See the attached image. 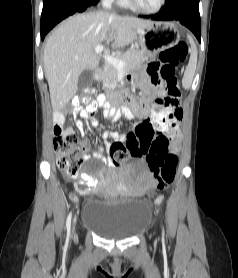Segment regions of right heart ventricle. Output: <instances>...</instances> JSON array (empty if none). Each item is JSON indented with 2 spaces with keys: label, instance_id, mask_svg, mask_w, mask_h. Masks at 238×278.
<instances>
[{
  "label": "right heart ventricle",
  "instance_id": "e07e8e85",
  "mask_svg": "<svg viewBox=\"0 0 238 278\" xmlns=\"http://www.w3.org/2000/svg\"><path fill=\"white\" fill-rule=\"evenodd\" d=\"M121 1H122V4H125V3H126V2H125L126 0H121Z\"/></svg>",
  "mask_w": 238,
  "mask_h": 278
}]
</instances>
